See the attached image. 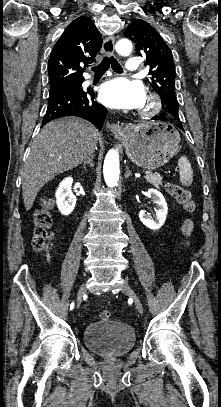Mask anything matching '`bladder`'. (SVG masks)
Returning a JSON list of instances; mask_svg holds the SVG:
<instances>
[{
	"instance_id": "bladder-1",
	"label": "bladder",
	"mask_w": 221,
	"mask_h": 407,
	"mask_svg": "<svg viewBox=\"0 0 221 407\" xmlns=\"http://www.w3.org/2000/svg\"><path fill=\"white\" fill-rule=\"evenodd\" d=\"M84 343L92 352L106 358H117L131 351L135 332L123 322H98L85 327Z\"/></svg>"
}]
</instances>
